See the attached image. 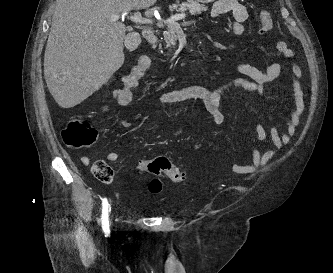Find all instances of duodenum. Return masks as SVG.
I'll return each mask as SVG.
<instances>
[{
	"instance_id": "obj_1",
	"label": "duodenum",
	"mask_w": 333,
	"mask_h": 273,
	"mask_svg": "<svg viewBox=\"0 0 333 273\" xmlns=\"http://www.w3.org/2000/svg\"><path fill=\"white\" fill-rule=\"evenodd\" d=\"M142 36L148 42L152 43V42L156 41V35H155V33H154V31L152 29H149V28L144 29L142 31Z\"/></svg>"
}]
</instances>
